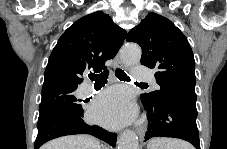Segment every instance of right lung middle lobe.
I'll use <instances>...</instances> for the list:
<instances>
[{
	"label": "right lung middle lobe",
	"instance_id": "1",
	"mask_svg": "<svg viewBox=\"0 0 227 149\" xmlns=\"http://www.w3.org/2000/svg\"><path fill=\"white\" fill-rule=\"evenodd\" d=\"M75 85L55 84L42 88L39 120L62 111L82 112V105L74 96Z\"/></svg>",
	"mask_w": 227,
	"mask_h": 149
}]
</instances>
